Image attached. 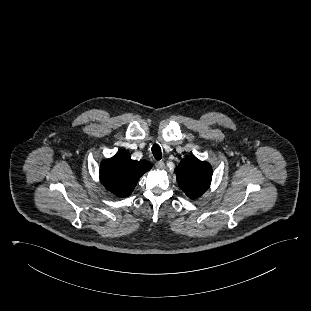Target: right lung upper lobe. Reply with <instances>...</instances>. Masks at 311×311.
<instances>
[{"instance_id":"right-lung-upper-lobe-1","label":"right lung upper lobe","mask_w":311,"mask_h":311,"mask_svg":"<svg viewBox=\"0 0 311 311\" xmlns=\"http://www.w3.org/2000/svg\"><path fill=\"white\" fill-rule=\"evenodd\" d=\"M152 167L146 160L134 161L128 150L122 149L100 165V181L118 197H127L134 190L139 178Z\"/></svg>"}]
</instances>
